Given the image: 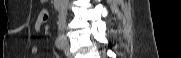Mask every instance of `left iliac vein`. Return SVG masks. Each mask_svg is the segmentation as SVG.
<instances>
[{"label": "left iliac vein", "mask_w": 181, "mask_h": 58, "mask_svg": "<svg viewBox=\"0 0 181 58\" xmlns=\"http://www.w3.org/2000/svg\"><path fill=\"white\" fill-rule=\"evenodd\" d=\"M64 53L66 56H69L70 53H69V48H68V44H67V41L64 40Z\"/></svg>", "instance_id": "obj_1"}]
</instances>
